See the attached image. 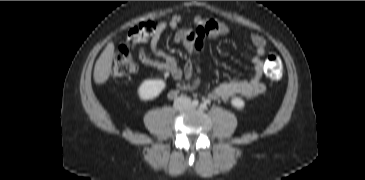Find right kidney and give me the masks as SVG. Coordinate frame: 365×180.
<instances>
[{
  "label": "right kidney",
  "mask_w": 365,
  "mask_h": 180,
  "mask_svg": "<svg viewBox=\"0 0 365 180\" xmlns=\"http://www.w3.org/2000/svg\"><path fill=\"white\" fill-rule=\"evenodd\" d=\"M166 83L161 79H148L138 87L137 94L142 101L152 100L165 89Z\"/></svg>",
  "instance_id": "ca27d5eb"
}]
</instances>
